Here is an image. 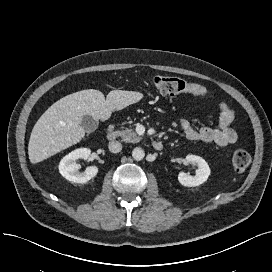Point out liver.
I'll use <instances>...</instances> for the list:
<instances>
[{
    "instance_id": "liver-1",
    "label": "liver",
    "mask_w": 272,
    "mask_h": 272,
    "mask_svg": "<svg viewBox=\"0 0 272 272\" xmlns=\"http://www.w3.org/2000/svg\"><path fill=\"white\" fill-rule=\"evenodd\" d=\"M142 98L140 92L112 90L105 99L104 94L95 89L61 98L43 113L33 127L28 144L30 162H41L80 142L85 136L81 126L84 115L105 121L113 111L122 110Z\"/></svg>"
}]
</instances>
